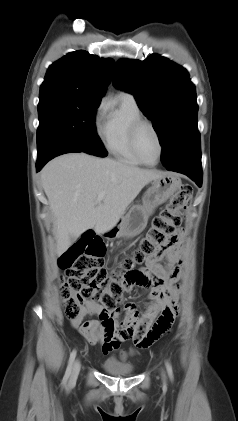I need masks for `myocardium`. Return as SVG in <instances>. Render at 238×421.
<instances>
[{
  "instance_id": "obj_1",
  "label": "myocardium",
  "mask_w": 238,
  "mask_h": 421,
  "mask_svg": "<svg viewBox=\"0 0 238 421\" xmlns=\"http://www.w3.org/2000/svg\"><path fill=\"white\" fill-rule=\"evenodd\" d=\"M144 125H148L152 131L154 132L158 145H159V153H158V158L154 163H149L147 162L141 155L139 148H138V135L140 132V129L144 126ZM130 141H131V147L132 150L134 152V154L136 155V157L144 164L147 166H155L159 163L162 154H163V143H162V138L161 135L156 127V125L147 118L141 117L138 120H136L132 127H131V131H130Z\"/></svg>"
}]
</instances>
